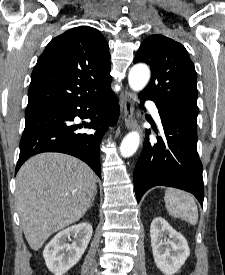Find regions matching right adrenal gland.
<instances>
[{"label": "right adrenal gland", "instance_id": "1", "mask_svg": "<svg viewBox=\"0 0 225 275\" xmlns=\"http://www.w3.org/2000/svg\"><path fill=\"white\" fill-rule=\"evenodd\" d=\"M96 194H97V189L95 190V193H94V195H93V197H92V203H91V205H93V203H94Z\"/></svg>", "mask_w": 225, "mask_h": 275}]
</instances>
